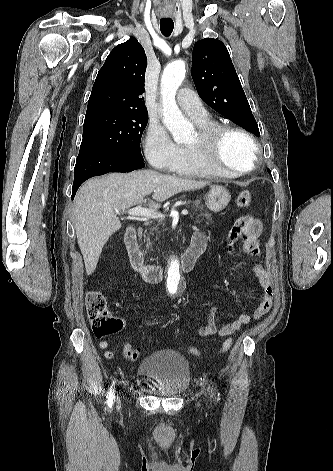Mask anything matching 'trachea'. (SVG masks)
Instances as JSON below:
<instances>
[{"label": "trachea", "instance_id": "1", "mask_svg": "<svg viewBox=\"0 0 333 471\" xmlns=\"http://www.w3.org/2000/svg\"><path fill=\"white\" fill-rule=\"evenodd\" d=\"M174 28V22L171 19H162L160 20V29L161 33L168 37L171 35Z\"/></svg>", "mask_w": 333, "mask_h": 471}]
</instances>
